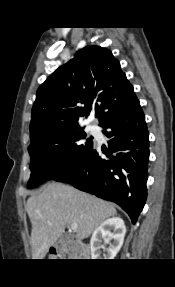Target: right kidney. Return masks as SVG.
<instances>
[{
	"instance_id": "ca27d5eb",
	"label": "right kidney",
	"mask_w": 175,
	"mask_h": 287,
	"mask_svg": "<svg viewBox=\"0 0 175 287\" xmlns=\"http://www.w3.org/2000/svg\"><path fill=\"white\" fill-rule=\"evenodd\" d=\"M125 233L126 227L121 218L113 217L105 220L92 234L90 240L92 259H114L123 245ZM110 241L112 242L109 243V248L105 250L104 242Z\"/></svg>"
}]
</instances>
